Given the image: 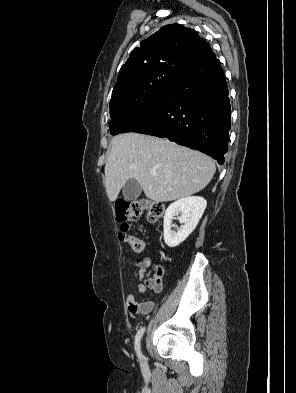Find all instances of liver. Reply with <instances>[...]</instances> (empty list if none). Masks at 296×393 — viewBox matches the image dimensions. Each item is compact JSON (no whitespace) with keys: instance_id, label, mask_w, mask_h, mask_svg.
<instances>
[{"instance_id":"liver-1","label":"liver","mask_w":296,"mask_h":393,"mask_svg":"<svg viewBox=\"0 0 296 393\" xmlns=\"http://www.w3.org/2000/svg\"><path fill=\"white\" fill-rule=\"evenodd\" d=\"M215 171V162L199 151L168 139L124 133L112 139L105 165V188L113 202L126 182L135 179L147 198L168 202L201 191Z\"/></svg>"}]
</instances>
